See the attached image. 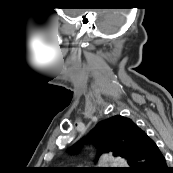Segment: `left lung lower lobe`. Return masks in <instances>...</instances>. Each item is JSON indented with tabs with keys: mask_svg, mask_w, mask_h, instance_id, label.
Wrapping results in <instances>:
<instances>
[{
	"mask_svg": "<svg viewBox=\"0 0 173 173\" xmlns=\"http://www.w3.org/2000/svg\"><path fill=\"white\" fill-rule=\"evenodd\" d=\"M141 145L128 161L127 173H168L166 160L156 143L143 131Z\"/></svg>",
	"mask_w": 173,
	"mask_h": 173,
	"instance_id": "obj_1",
	"label": "left lung lower lobe"
}]
</instances>
